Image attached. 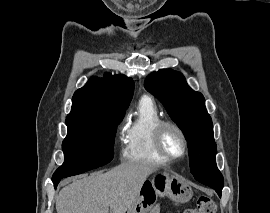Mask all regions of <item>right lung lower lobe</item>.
I'll list each match as a JSON object with an SVG mask.
<instances>
[{
    "instance_id": "obj_1",
    "label": "right lung lower lobe",
    "mask_w": 270,
    "mask_h": 213,
    "mask_svg": "<svg viewBox=\"0 0 270 213\" xmlns=\"http://www.w3.org/2000/svg\"><path fill=\"white\" fill-rule=\"evenodd\" d=\"M60 180H61V179H58V180L53 181V184H54V187H55V188L57 187V185H58V183H59Z\"/></svg>"
}]
</instances>
